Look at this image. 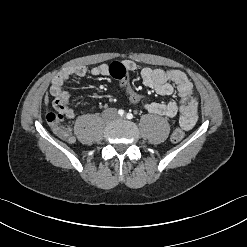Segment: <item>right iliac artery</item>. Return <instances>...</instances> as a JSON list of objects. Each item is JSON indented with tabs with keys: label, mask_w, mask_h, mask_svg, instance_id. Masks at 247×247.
Returning a JSON list of instances; mask_svg holds the SVG:
<instances>
[{
	"label": "right iliac artery",
	"mask_w": 247,
	"mask_h": 247,
	"mask_svg": "<svg viewBox=\"0 0 247 247\" xmlns=\"http://www.w3.org/2000/svg\"><path fill=\"white\" fill-rule=\"evenodd\" d=\"M118 114H119L121 117H123V116L125 115V111L122 110V109H120V110L118 111Z\"/></svg>",
	"instance_id": "82829eb1"
}]
</instances>
